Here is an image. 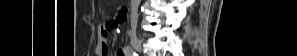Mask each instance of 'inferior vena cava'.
<instances>
[{
	"label": "inferior vena cava",
	"mask_w": 297,
	"mask_h": 56,
	"mask_svg": "<svg viewBox=\"0 0 297 56\" xmlns=\"http://www.w3.org/2000/svg\"><path fill=\"white\" fill-rule=\"evenodd\" d=\"M140 0H132L131 6V27L136 29L137 20H138V5Z\"/></svg>",
	"instance_id": "602c4592"
}]
</instances>
